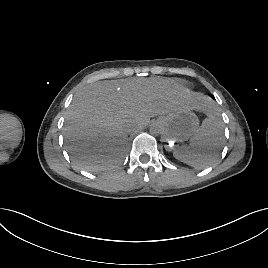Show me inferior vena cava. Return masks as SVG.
<instances>
[{
    "instance_id": "1",
    "label": "inferior vena cava",
    "mask_w": 268,
    "mask_h": 268,
    "mask_svg": "<svg viewBox=\"0 0 268 268\" xmlns=\"http://www.w3.org/2000/svg\"><path fill=\"white\" fill-rule=\"evenodd\" d=\"M137 130V127H133V128H131L130 130H129V132L131 133V132H134V131H136Z\"/></svg>"
}]
</instances>
